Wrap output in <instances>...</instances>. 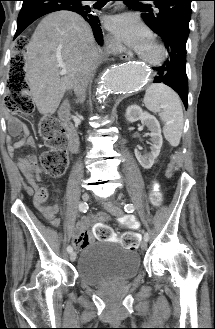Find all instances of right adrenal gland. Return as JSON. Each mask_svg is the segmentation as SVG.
Segmentation results:
<instances>
[{"instance_id":"obj_1","label":"right adrenal gland","mask_w":215,"mask_h":329,"mask_svg":"<svg viewBox=\"0 0 215 329\" xmlns=\"http://www.w3.org/2000/svg\"><path fill=\"white\" fill-rule=\"evenodd\" d=\"M85 101V95L83 94L80 98L76 100L77 104H83Z\"/></svg>"}]
</instances>
